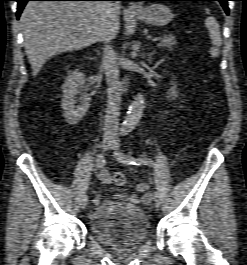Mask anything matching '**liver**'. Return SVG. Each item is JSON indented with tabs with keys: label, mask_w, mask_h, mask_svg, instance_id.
<instances>
[{
	"label": "liver",
	"mask_w": 247,
	"mask_h": 265,
	"mask_svg": "<svg viewBox=\"0 0 247 265\" xmlns=\"http://www.w3.org/2000/svg\"><path fill=\"white\" fill-rule=\"evenodd\" d=\"M80 1H30L20 22L25 51L36 77L53 56L86 48L119 31L120 4Z\"/></svg>",
	"instance_id": "6515ba94"
}]
</instances>
